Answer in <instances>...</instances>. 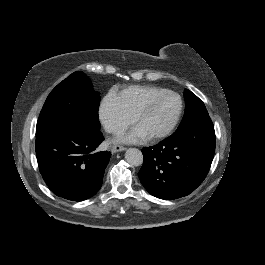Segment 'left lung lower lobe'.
I'll return each mask as SVG.
<instances>
[{"mask_svg":"<svg viewBox=\"0 0 265 265\" xmlns=\"http://www.w3.org/2000/svg\"><path fill=\"white\" fill-rule=\"evenodd\" d=\"M215 142L214 126L207 117L178 128L155 146L145 147L138 173L142 185L164 200L190 194L210 169Z\"/></svg>","mask_w":265,"mask_h":265,"instance_id":"obj_1","label":"left lung lower lobe"}]
</instances>
